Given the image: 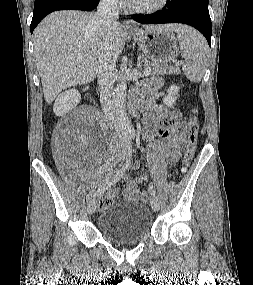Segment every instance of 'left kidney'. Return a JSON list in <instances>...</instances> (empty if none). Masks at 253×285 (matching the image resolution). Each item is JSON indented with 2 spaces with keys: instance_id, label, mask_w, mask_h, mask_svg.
Masks as SVG:
<instances>
[{
  "instance_id": "5707ae66",
  "label": "left kidney",
  "mask_w": 253,
  "mask_h": 285,
  "mask_svg": "<svg viewBox=\"0 0 253 285\" xmlns=\"http://www.w3.org/2000/svg\"><path fill=\"white\" fill-rule=\"evenodd\" d=\"M178 91H179V87L178 86H176V85L170 86L169 89L167 90L168 95L163 98V102L167 106L172 107V105L177 100V96H179L178 95Z\"/></svg>"
}]
</instances>
